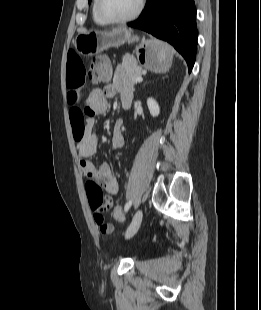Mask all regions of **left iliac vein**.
Returning <instances> with one entry per match:
<instances>
[{"instance_id": "left-iliac-vein-1", "label": "left iliac vein", "mask_w": 261, "mask_h": 310, "mask_svg": "<svg viewBox=\"0 0 261 310\" xmlns=\"http://www.w3.org/2000/svg\"><path fill=\"white\" fill-rule=\"evenodd\" d=\"M142 218H143V212L141 209H139L135 213L133 220H132L131 224L129 225V227L126 231V238L127 239L133 237L136 234V232L138 231V229L141 225Z\"/></svg>"}]
</instances>
